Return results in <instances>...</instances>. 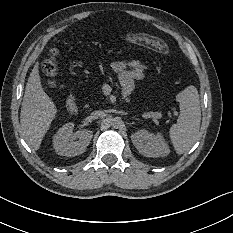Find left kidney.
I'll use <instances>...</instances> for the list:
<instances>
[{
    "instance_id": "left-kidney-1",
    "label": "left kidney",
    "mask_w": 233,
    "mask_h": 233,
    "mask_svg": "<svg viewBox=\"0 0 233 233\" xmlns=\"http://www.w3.org/2000/svg\"><path fill=\"white\" fill-rule=\"evenodd\" d=\"M133 145L145 157H164L170 153V149L161 133L156 135L142 129L131 135Z\"/></svg>"
}]
</instances>
